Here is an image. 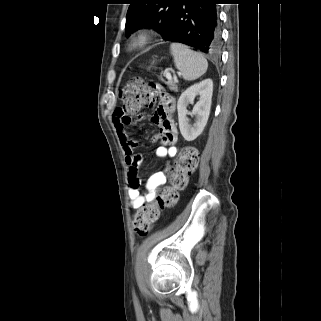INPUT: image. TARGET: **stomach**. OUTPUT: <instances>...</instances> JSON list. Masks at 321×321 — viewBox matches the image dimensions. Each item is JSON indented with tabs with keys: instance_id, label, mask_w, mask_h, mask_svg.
<instances>
[{
	"instance_id": "1",
	"label": "stomach",
	"mask_w": 321,
	"mask_h": 321,
	"mask_svg": "<svg viewBox=\"0 0 321 321\" xmlns=\"http://www.w3.org/2000/svg\"><path fill=\"white\" fill-rule=\"evenodd\" d=\"M154 64V61L151 63V65H153Z\"/></svg>"
}]
</instances>
